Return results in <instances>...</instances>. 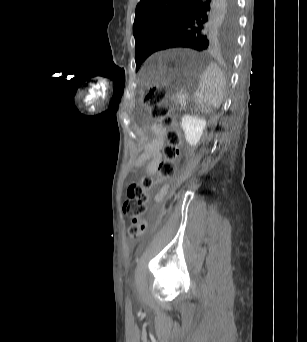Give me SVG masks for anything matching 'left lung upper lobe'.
Returning <instances> with one entry per match:
<instances>
[{
    "instance_id": "obj_1",
    "label": "left lung upper lobe",
    "mask_w": 307,
    "mask_h": 342,
    "mask_svg": "<svg viewBox=\"0 0 307 342\" xmlns=\"http://www.w3.org/2000/svg\"><path fill=\"white\" fill-rule=\"evenodd\" d=\"M236 30L235 0H141L133 24L136 70L168 48L229 54Z\"/></svg>"
}]
</instances>
